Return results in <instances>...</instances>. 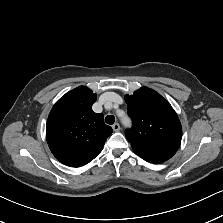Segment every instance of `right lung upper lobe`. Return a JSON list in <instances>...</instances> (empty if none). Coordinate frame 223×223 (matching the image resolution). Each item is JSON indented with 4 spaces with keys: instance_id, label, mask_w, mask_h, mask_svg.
<instances>
[{
    "instance_id": "right-lung-upper-lobe-1",
    "label": "right lung upper lobe",
    "mask_w": 223,
    "mask_h": 223,
    "mask_svg": "<svg viewBox=\"0 0 223 223\" xmlns=\"http://www.w3.org/2000/svg\"><path fill=\"white\" fill-rule=\"evenodd\" d=\"M96 94L79 86L62 96L47 120L46 138L53 155L63 164L80 167L92 161L102 150L112 128L95 113Z\"/></svg>"
}]
</instances>
